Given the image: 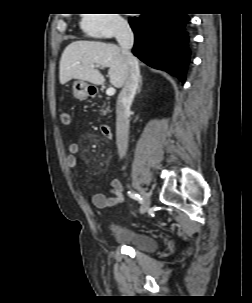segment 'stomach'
Wrapping results in <instances>:
<instances>
[{
	"label": "stomach",
	"mask_w": 252,
	"mask_h": 303,
	"mask_svg": "<svg viewBox=\"0 0 252 303\" xmlns=\"http://www.w3.org/2000/svg\"><path fill=\"white\" fill-rule=\"evenodd\" d=\"M90 85L82 80H76L73 83L74 97L79 100H85L89 96Z\"/></svg>",
	"instance_id": "0dacf381"
}]
</instances>
